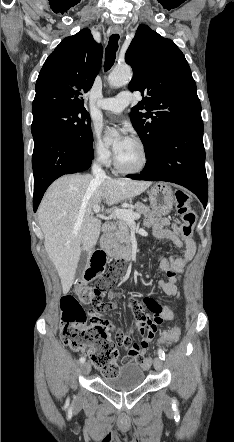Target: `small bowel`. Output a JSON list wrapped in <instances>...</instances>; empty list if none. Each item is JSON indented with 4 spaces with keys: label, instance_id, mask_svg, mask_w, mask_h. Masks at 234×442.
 <instances>
[{
    "label": "small bowel",
    "instance_id": "c3829d8e",
    "mask_svg": "<svg viewBox=\"0 0 234 442\" xmlns=\"http://www.w3.org/2000/svg\"><path fill=\"white\" fill-rule=\"evenodd\" d=\"M144 223L146 226L152 227L155 237L168 239L183 251L180 256L160 259V269L166 273L167 280H159L158 287L166 295L178 296L180 276L195 254V242L190 237L181 236L175 223H171L169 219L161 217L156 212L150 213ZM169 224L172 225V230L167 228ZM110 308V305L104 304L102 313L107 312ZM174 316L175 314L171 308L162 306L161 314H135L131 322L133 328L116 329L111 320L104 314H89L87 325L89 328H94L95 331H109L111 336H115L114 341L119 344L120 349L127 350L123 358V361L126 362V369L136 370L146 359L144 354L158 328H162L164 321L172 320ZM124 331H137L142 335L144 333L152 334L143 336L139 343L131 346L130 337ZM161 343H163L162 340Z\"/></svg>",
    "mask_w": 234,
    "mask_h": 442
}]
</instances>
